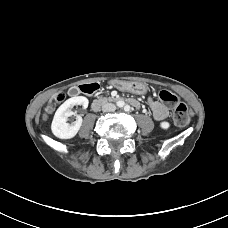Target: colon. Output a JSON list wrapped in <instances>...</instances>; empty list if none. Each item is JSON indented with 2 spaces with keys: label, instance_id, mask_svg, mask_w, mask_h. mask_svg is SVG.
<instances>
[{
  "label": "colon",
  "instance_id": "5ec220e1",
  "mask_svg": "<svg viewBox=\"0 0 228 228\" xmlns=\"http://www.w3.org/2000/svg\"><path fill=\"white\" fill-rule=\"evenodd\" d=\"M65 98V94L60 92L57 94L55 101L61 102ZM159 99L165 103L166 105L174 107L173 118L174 122L178 126H185L189 123L191 118L190 109L185 103H182L178 100V98L171 92L162 90L159 93ZM53 110V105H49L46 107L43 118L47 119Z\"/></svg>",
  "mask_w": 228,
  "mask_h": 228
}]
</instances>
